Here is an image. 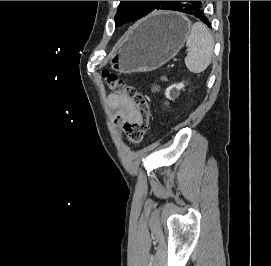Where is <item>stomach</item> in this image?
Returning a JSON list of instances; mask_svg holds the SVG:
<instances>
[{
    "label": "stomach",
    "mask_w": 271,
    "mask_h": 266,
    "mask_svg": "<svg viewBox=\"0 0 271 266\" xmlns=\"http://www.w3.org/2000/svg\"><path fill=\"white\" fill-rule=\"evenodd\" d=\"M190 22L176 12L156 13L128 32L111 58L121 73L152 71L172 59L183 46Z\"/></svg>",
    "instance_id": "1"
}]
</instances>
